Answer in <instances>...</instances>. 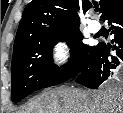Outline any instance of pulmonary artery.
Listing matches in <instances>:
<instances>
[{
  "label": "pulmonary artery",
  "mask_w": 123,
  "mask_h": 113,
  "mask_svg": "<svg viewBox=\"0 0 123 113\" xmlns=\"http://www.w3.org/2000/svg\"><path fill=\"white\" fill-rule=\"evenodd\" d=\"M101 25L98 21L96 20H91L89 23V29L91 32L96 33L100 30Z\"/></svg>",
  "instance_id": "e3ab8cb5"
}]
</instances>
